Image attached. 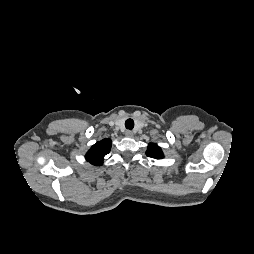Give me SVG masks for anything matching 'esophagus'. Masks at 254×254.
Masks as SVG:
<instances>
[{
	"instance_id": "esophagus-1",
	"label": "esophagus",
	"mask_w": 254,
	"mask_h": 254,
	"mask_svg": "<svg viewBox=\"0 0 254 254\" xmlns=\"http://www.w3.org/2000/svg\"><path fill=\"white\" fill-rule=\"evenodd\" d=\"M125 135L128 137H131V136H133V132L131 130H126Z\"/></svg>"
}]
</instances>
